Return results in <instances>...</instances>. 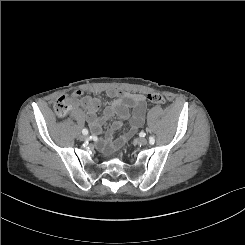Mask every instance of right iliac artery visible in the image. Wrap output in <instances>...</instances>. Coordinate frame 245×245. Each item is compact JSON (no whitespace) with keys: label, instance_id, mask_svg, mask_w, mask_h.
<instances>
[{"label":"right iliac artery","instance_id":"1","mask_svg":"<svg viewBox=\"0 0 245 245\" xmlns=\"http://www.w3.org/2000/svg\"><path fill=\"white\" fill-rule=\"evenodd\" d=\"M82 133H83L84 135H87V134H88V130H87L86 128H84V129L82 130Z\"/></svg>","mask_w":245,"mask_h":245}]
</instances>
